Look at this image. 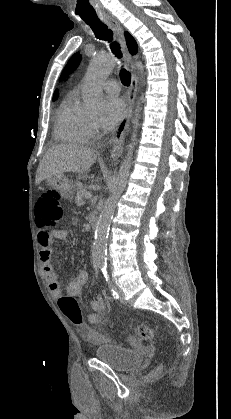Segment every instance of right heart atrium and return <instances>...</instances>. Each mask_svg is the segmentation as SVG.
<instances>
[{
	"label": "right heart atrium",
	"instance_id": "obj_1",
	"mask_svg": "<svg viewBox=\"0 0 231 419\" xmlns=\"http://www.w3.org/2000/svg\"><path fill=\"white\" fill-rule=\"evenodd\" d=\"M98 132V126L94 121H90L88 127L89 136H93Z\"/></svg>",
	"mask_w": 231,
	"mask_h": 419
}]
</instances>
